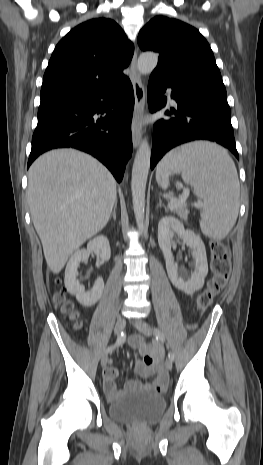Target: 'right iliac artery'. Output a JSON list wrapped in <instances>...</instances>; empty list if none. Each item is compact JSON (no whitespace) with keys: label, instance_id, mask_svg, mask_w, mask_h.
Wrapping results in <instances>:
<instances>
[{"label":"right iliac artery","instance_id":"obj_1","mask_svg":"<svg viewBox=\"0 0 263 465\" xmlns=\"http://www.w3.org/2000/svg\"><path fill=\"white\" fill-rule=\"evenodd\" d=\"M126 334L121 332V334L117 337L116 343L114 345L109 346L106 349V353H111L116 347L122 345L125 342Z\"/></svg>","mask_w":263,"mask_h":465}]
</instances>
